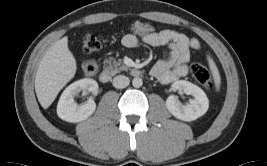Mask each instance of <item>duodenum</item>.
<instances>
[{
  "label": "duodenum",
  "mask_w": 267,
  "mask_h": 166,
  "mask_svg": "<svg viewBox=\"0 0 267 166\" xmlns=\"http://www.w3.org/2000/svg\"><path fill=\"white\" fill-rule=\"evenodd\" d=\"M129 74L133 77H141L144 72L142 70L139 69H132L129 71ZM113 74L110 70H102L99 73V80L101 83L107 84L112 80Z\"/></svg>",
  "instance_id": "obj_1"
}]
</instances>
